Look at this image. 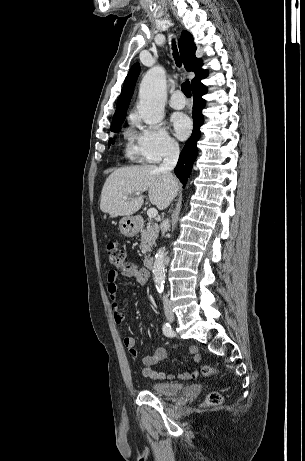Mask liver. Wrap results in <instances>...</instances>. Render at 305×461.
Returning a JSON list of instances; mask_svg holds the SVG:
<instances>
[{
	"label": "liver",
	"instance_id": "liver-1",
	"mask_svg": "<svg viewBox=\"0 0 305 461\" xmlns=\"http://www.w3.org/2000/svg\"><path fill=\"white\" fill-rule=\"evenodd\" d=\"M178 179L159 171L155 165H136L118 168L106 179L101 192L100 209L112 218L130 216L143 205V196L124 200L137 192L148 190L150 202L164 210L177 195Z\"/></svg>",
	"mask_w": 305,
	"mask_h": 461
}]
</instances>
